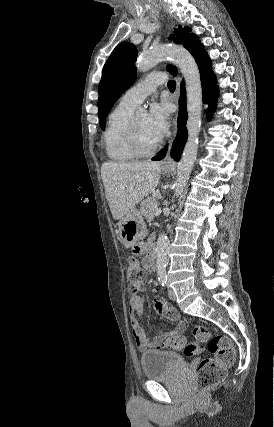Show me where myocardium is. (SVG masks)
<instances>
[{
  "label": "myocardium",
  "mask_w": 274,
  "mask_h": 427,
  "mask_svg": "<svg viewBox=\"0 0 274 427\" xmlns=\"http://www.w3.org/2000/svg\"><path fill=\"white\" fill-rule=\"evenodd\" d=\"M127 142L129 149L133 153V155L137 158H148L155 155L162 147L163 142L160 140L154 147L149 150H143L140 147L137 125H136V117H133L128 128L127 132Z\"/></svg>",
  "instance_id": "obj_1"
}]
</instances>
